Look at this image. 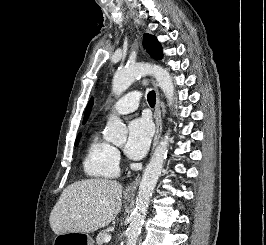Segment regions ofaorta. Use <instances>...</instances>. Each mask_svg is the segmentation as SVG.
I'll list each match as a JSON object with an SVG mask.
<instances>
[{"instance_id": "aorta-1", "label": "aorta", "mask_w": 266, "mask_h": 245, "mask_svg": "<svg viewBox=\"0 0 266 245\" xmlns=\"http://www.w3.org/2000/svg\"><path fill=\"white\" fill-rule=\"evenodd\" d=\"M143 74L155 76L158 86H160L165 94V98H167V102L173 104L175 86L172 76L166 68L159 66V64H151V66L130 64V66H125L122 70H117L112 80V92L114 94H122L126 88H129L132 82H135L138 76H143ZM169 135L170 133H166L165 137L161 139L142 175L136 207L131 215V223L126 231V245H137L138 243V237L141 233L153 189H155L161 175L163 163L167 159ZM104 139L105 141H110L113 145H125L127 129L119 116H111L109 118Z\"/></svg>"}]
</instances>
